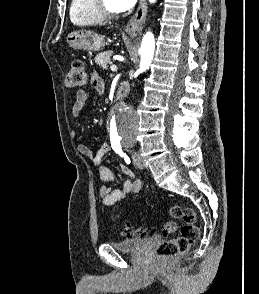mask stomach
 <instances>
[{
    "label": "stomach",
    "instance_id": "0dacf381",
    "mask_svg": "<svg viewBox=\"0 0 259 294\" xmlns=\"http://www.w3.org/2000/svg\"><path fill=\"white\" fill-rule=\"evenodd\" d=\"M132 37L134 35H131ZM67 43L74 49L86 51H100L105 46V39L92 31L81 30L70 33L67 36Z\"/></svg>",
    "mask_w": 259,
    "mask_h": 294
}]
</instances>
